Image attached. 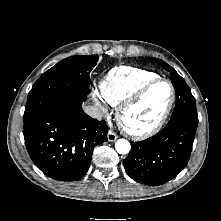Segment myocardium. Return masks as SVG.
Listing matches in <instances>:
<instances>
[{
	"mask_svg": "<svg viewBox=\"0 0 221 221\" xmlns=\"http://www.w3.org/2000/svg\"><path fill=\"white\" fill-rule=\"evenodd\" d=\"M167 83L171 89L170 99L168 104L166 105L163 113L159 117V119L150 127L147 128H135L131 126L127 121V115L138 105L142 103L146 94L149 92L151 88H153L158 83ZM176 99V90L173 83L166 78L157 77L148 83L144 84L133 96L129 99L125 100L117 111V120L120 124L123 131L128 134L130 137L135 139H142L156 133L166 122L168 116L170 115L172 108L174 106Z\"/></svg>",
	"mask_w": 221,
	"mask_h": 221,
	"instance_id": "obj_1",
	"label": "myocardium"
}]
</instances>
